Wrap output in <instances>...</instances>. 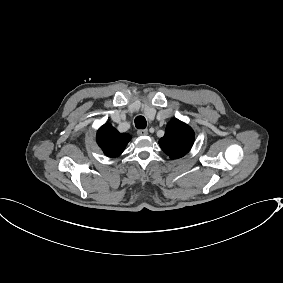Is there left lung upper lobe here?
I'll return each instance as SVG.
<instances>
[{
    "mask_svg": "<svg viewBox=\"0 0 283 283\" xmlns=\"http://www.w3.org/2000/svg\"><path fill=\"white\" fill-rule=\"evenodd\" d=\"M193 142L194 132L191 127L178 119H172L166 127L165 135L159 140V145L171 159H177L190 151Z\"/></svg>",
    "mask_w": 283,
    "mask_h": 283,
    "instance_id": "1",
    "label": "left lung upper lobe"
}]
</instances>
